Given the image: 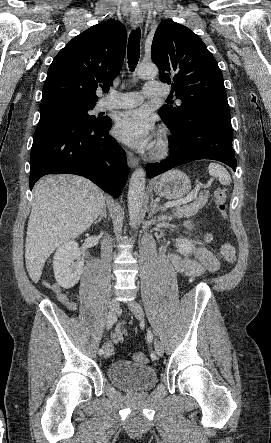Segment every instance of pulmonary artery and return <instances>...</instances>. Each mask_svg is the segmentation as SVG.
I'll return each instance as SVG.
<instances>
[{
	"mask_svg": "<svg viewBox=\"0 0 271 443\" xmlns=\"http://www.w3.org/2000/svg\"><path fill=\"white\" fill-rule=\"evenodd\" d=\"M165 92L152 89V83L145 84L142 92L121 93L111 90L96 105L97 110L132 108L140 105L144 97L164 95Z\"/></svg>",
	"mask_w": 271,
	"mask_h": 443,
	"instance_id": "obj_1",
	"label": "pulmonary artery"
}]
</instances>
